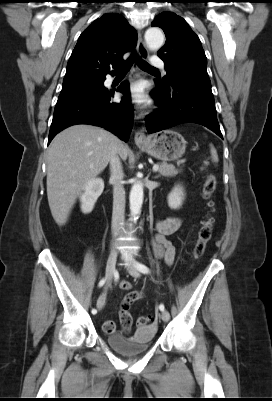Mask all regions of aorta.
Wrapping results in <instances>:
<instances>
[{
	"label": "aorta",
	"mask_w": 272,
	"mask_h": 401,
	"mask_svg": "<svg viewBox=\"0 0 272 401\" xmlns=\"http://www.w3.org/2000/svg\"><path fill=\"white\" fill-rule=\"evenodd\" d=\"M145 41L147 47L151 50L159 49L164 43V35L159 28H149L145 32ZM143 186L140 182H135L129 195L131 216L139 215L143 203Z\"/></svg>",
	"instance_id": "762f6f07"
}]
</instances>
